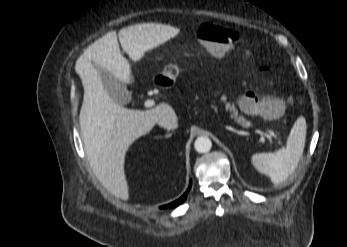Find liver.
I'll return each mask as SVG.
<instances>
[{"instance_id":"obj_1","label":"liver","mask_w":347,"mask_h":247,"mask_svg":"<svg viewBox=\"0 0 347 247\" xmlns=\"http://www.w3.org/2000/svg\"><path fill=\"white\" fill-rule=\"evenodd\" d=\"M178 31L170 25L144 23L121 29L118 37L123 50L138 61L144 52L166 42ZM95 66L123 84L132 82L130 64L121 54L115 31L91 44L76 61L75 70L84 87L79 120L87 159L102 184L116 197L126 200L129 186L124 162L129 146L149 133L160 116L176 114L167 103L146 111L121 106L104 90Z\"/></svg>"}]
</instances>
